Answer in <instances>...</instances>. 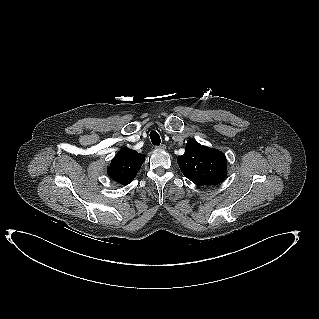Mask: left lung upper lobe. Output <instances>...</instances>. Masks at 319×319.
Returning <instances> with one entry per match:
<instances>
[{
	"label": "left lung upper lobe",
	"mask_w": 319,
	"mask_h": 319,
	"mask_svg": "<svg viewBox=\"0 0 319 319\" xmlns=\"http://www.w3.org/2000/svg\"><path fill=\"white\" fill-rule=\"evenodd\" d=\"M177 163L184 176L199 186L217 185L226 177L225 155L194 139L187 142L185 153L177 158Z\"/></svg>",
	"instance_id": "1"
}]
</instances>
